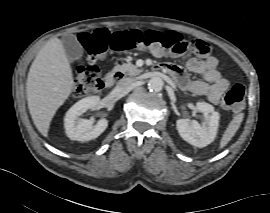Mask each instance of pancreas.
<instances>
[{"instance_id":"cf45deb5","label":"pancreas","mask_w":270,"mask_h":213,"mask_svg":"<svg viewBox=\"0 0 270 213\" xmlns=\"http://www.w3.org/2000/svg\"><path fill=\"white\" fill-rule=\"evenodd\" d=\"M114 70L120 71L124 75H128V76H136L143 72V69L137 68V66H135L131 62L116 66Z\"/></svg>"}]
</instances>
